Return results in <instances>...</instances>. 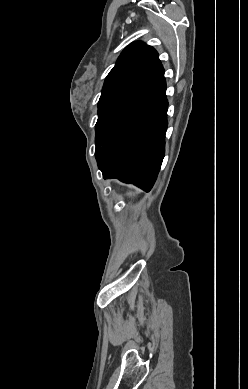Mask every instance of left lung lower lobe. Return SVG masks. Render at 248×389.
Returning <instances> with one entry per match:
<instances>
[{"instance_id":"0a47b994","label":"left lung lower lobe","mask_w":248,"mask_h":389,"mask_svg":"<svg viewBox=\"0 0 248 389\" xmlns=\"http://www.w3.org/2000/svg\"><path fill=\"white\" fill-rule=\"evenodd\" d=\"M166 81L158 59L98 114L95 157L104 178L151 190L165 153Z\"/></svg>"}]
</instances>
